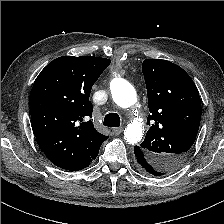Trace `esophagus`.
<instances>
[{
	"label": "esophagus",
	"instance_id": "esophagus-1",
	"mask_svg": "<svg viewBox=\"0 0 224 224\" xmlns=\"http://www.w3.org/2000/svg\"><path fill=\"white\" fill-rule=\"evenodd\" d=\"M122 131H123V128H122V127L114 128V129H113V133H114L115 135H119L120 133H122Z\"/></svg>",
	"mask_w": 224,
	"mask_h": 224
}]
</instances>
